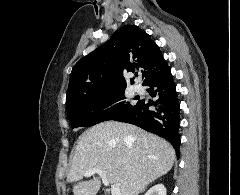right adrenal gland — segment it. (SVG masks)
I'll list each match as a JSON object with an SVG mask.
<instances>
[{
  "instance_id": "1",
  "label": "right adrenal gland",
  "mask_w": 240,
  "mask_h": 195,
  "mask_svg": "<svg viewBox=\"0 0 240 195\" xmlns=\"http://www.w3.org/2000/svg\"><path fill=\"white\" fill-rule=\"evenodd\" d=\"M145 187H143V189H141V191H144Z\"/></svg>"
}]
</instances>
